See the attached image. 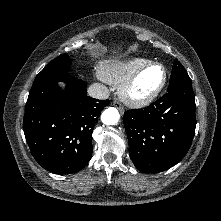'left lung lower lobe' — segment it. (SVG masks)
<instances>
[{"label":"left lung lower lobe","mask_w":221,"mask_h":221,"mask_svg":"<svg viewBox=\"0 0 221 221\" xmlns=\"http://www.w3.org/2000/svg\"><path fill=\"white\" fill-rule=\"evenodd\" d=\"M192 82H182L144 109L125 112L129 154L145 173L169 169L187 154L195 134Z\"/></svg>","instance_id":"0a47b994"}]
</instances>
